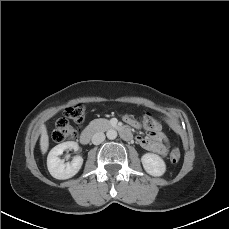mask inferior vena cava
Here are the masks:
<instances>
[{
  "instance_id": "obj_1",
  "label": "inferior vena cava",
  "mask_w": 229,
  "mask_h": 229,
  "mask_svg": "<svg viewBox=\"0 0 229 229\" xmlns=\"http://www.w3.org/2000/svg\"><path fill=\"white\" fill-rule=\"evenodd\" d=\"M105 140V134L102 132H97L92 136V143L94 145H99Z\"/></svg>"
}]
</instances>
